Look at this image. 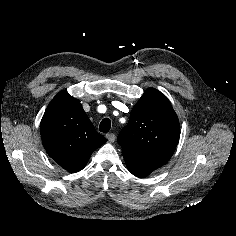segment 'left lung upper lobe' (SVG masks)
<instances>
[{
    "instance_id": "obj_1",
    "label": "left lung upper lobe",
    "mask_w": 236,
    "mask_h": 236,
    "mask_svg": "<svg viewBox=\"0 0 236 236\" xmlns=\"http://www.w3.org/2000/svg\"><path fill=\"white\" fill-rule=\"evenodd\" d=\"M180 136L179 120L169 100L148 88L133 107L118 142L123 157L163 166L172 157Z\"/></svg>"
}]
</instances>
